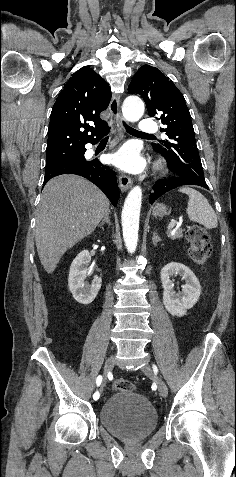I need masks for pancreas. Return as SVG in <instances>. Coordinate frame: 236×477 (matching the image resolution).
<instances>
[{
  "instance_id": "pancreas-1",
  "label": "pancreas",
  "mask_w": 236,
  "mask_h": 477,
  "mask_svg": "<svg viewBox=\"0 0 236 477\" xmlns=\"http://www.w3.org/2000/svg\"><path fill=\"white\" fill-rule=\"evenodd\" d=\"M168 237L172 240H175V239H180L183 237V230L182 229H179L177 230L174 234L172 233H168Z\"/></svg>"
}]
</instances>
